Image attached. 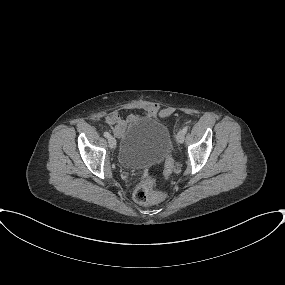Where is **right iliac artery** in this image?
<instances>
[{"mask_svg": "<svg viewBox=\"0 0 285 285\" xmlns=\"http://www.w3.org/2000/svg\"><path fill=\"white\" fill-rule=\"evenodd\" d=\"M104 136H105L106 138H109V137H110V134H109L108 132H104Z\"/></svg>", "mask_w": 285, "mask_h": 285, "instance_id": "obj_1", "label": "right iliac artery"}]
</instances>
